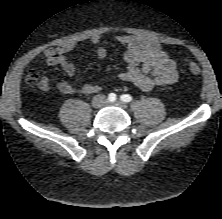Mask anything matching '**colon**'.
<instances>
[{
	"instance_id": "colon-1",
	"label": "colon",
	"mask_w": 222,
	"mask_h": 219,
	"mask_svg": "<svg viewBox=\"0 0 222 219\" xmlns=\"http://www.w3.org/2000/svg\"><path fill=\"white\" fill-rule=\"evenodd\" d=\"M184 66L192 75H200L201 68L194 62L184 59ZM39 74L36 70H30L26 75V82L30 86H35L38 82Z\"/></svg>"
}]
</instances>
